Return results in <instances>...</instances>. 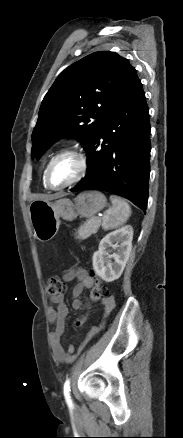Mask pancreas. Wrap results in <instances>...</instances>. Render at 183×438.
<instances>
[{
  "label": "pancreas",
  "instance_id": "obj_1",
  "mask_svg": "<svg viewBox=\"0 0 183 438\" xmlns=\"http://www.w3.org/2000/svg\"><path fill=\"white\" fill-rule=\"evenodd\" d=\"M100 225H101L100 218H98V217L89 218L78 229V231H77L78 236L76 238H78L80 240L87 239L92 234L97 233Z\"/></svg>",
  "mask_w": 183,
  "mask_h": 438
}]
</instances>
